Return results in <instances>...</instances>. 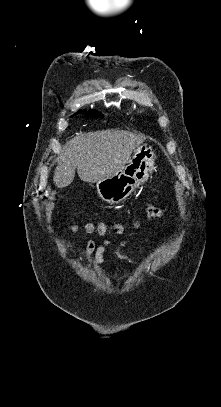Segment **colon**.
Masks as SVG:
<instances>
[{"mask_svg":"<svg viewBox=\"0 0 221 407\" xmlns=\"http://www.w3.org/2000/svg\"><path fill=\"white\" fill-rule=\"evenodd\" d=\"M164 213H165V210H164L163 208H161V207H158V206H150V207L148 208V210H147V214H148V216H149L150 218H157V217H160V216H162ZM124 228H125V227H124V226H121V225L116 226V230L119 231V232L123 231ZM87 230H88L89 232H93V231H95V230H98L100 233H105V231H106V229H105L103 226H101V225L95 226V225L92 224V223H89V224L87 225Z\"/></svg>","mask_w":221,"mask_h":407,"instance_id":"colon-1","label":"colon"}]
</instances>
